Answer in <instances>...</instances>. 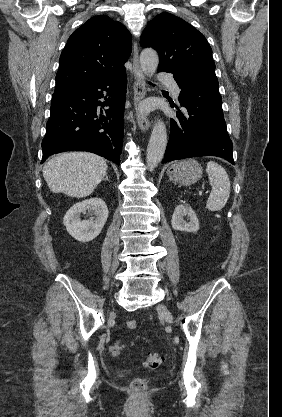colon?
<instances>
[{
	"label": "colon",
	"mask_w": 282,
	"mask_h": 417,
	"mask_svg": "<svg viewBox=\"0 0 282 417\" xmlns=\"http://www.w3.org/2000/svg\"><path fill=\"white\" fill-rule=\"evenodd\" d=\"M126 327L130 331H136L138 329V322L135 319L127 320ZM124 346L121 342H115L109 347V352L113 357H118L121 355ZM161 356L158 353H149L144 362L143 366L148 369H157L161 365ZM131 392L133 395L134 403H145L146 395L145 393L150 392V385L147 384L145 378L131 379L130 381Z\"/></svg>",
	"instance_id": "5ec220e1"
}]
</instances>
